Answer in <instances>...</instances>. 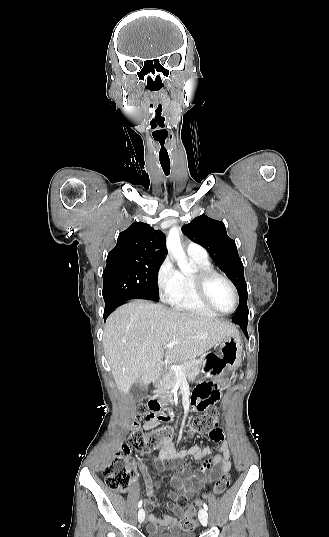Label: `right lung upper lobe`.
Masks as SVG:
<instances>
[{"label":"right lung upper lobe","instance_id":"right-lung-upper-lobe-1","mask_svg":"<svg viewBox=\"0 0 329 537\" xmlns=\"http://www.w3.org/2000/svg\"><path fill=\"white\" fill-rule=\"evenodd\" d=\"M165 254L164 233L149 224L134 222L119 234L117 245L108 253L106 267L162 262Z\"/></svg>","mask_w":329,"mask_h":537}]
</instances>
